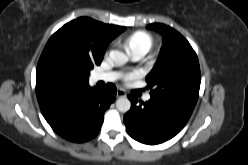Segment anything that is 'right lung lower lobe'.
<instances>
[{
  "label": "right lung lower lobe",
  "mask_w": 248,
  "mask_h": 165,
  "mask_svg": "<svg viewBox=\"0 0 248 165\" xmlns=\"http://www.w3.org/2000/svg\"><path fill=\"white\" fill-rule=\"evenodd\" d=\"M117 89L108 83L105 89L89 88L68 98L40 105L52 129L72 142H85L100 131L105 111L114 102Z\"/></svg>",
  "instance_id": "right-lung-lower-lobe-1"
}]
</instances>
